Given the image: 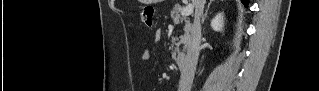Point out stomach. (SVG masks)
I'll return each instance as SVG.
<instances>
[{
    "mask_svg": "<svg viewBox=\"0 0 319 91\" xmlns=\"http://www.w3.org/2000/svg\"><path fill=\"white\" fill-rule=\"evenodd\" d=\"M145 3H154L158 2V0H143Z\"/></svg>",
    "mask_w": 319,
    "mask_h": 91,
    "instance_id": "stomach-1",
    "label": "stomach"
}]
</instances>
